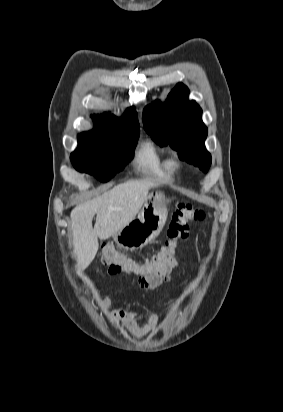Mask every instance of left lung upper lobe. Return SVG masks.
<instances>
[{
    "label": "left lung upper lobe",
    "instance_id": "obj_1",
    "mask_svg": "<svg viewBox=\"0 0 283 412\" xmlns=\"http://www.w3.org/2000/svg\"><path fill=\"white\" fill-rule=\"evenodd\" d=\"M188 94V88L179 83L165 103L155 101L146 106L144 128L157 144H169L179 152L180 159L206 173L211 165V155L204 145L207 128L201 119L202 109L186 99Z\"/></svg>",
    "mask_w": 283,
    "mask_h": 412
}]
</instances>
